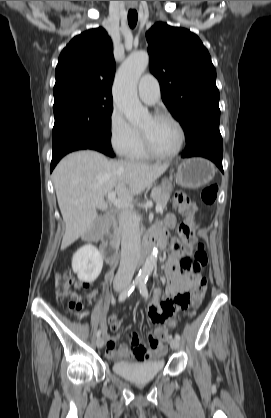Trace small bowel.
Listing matches in <instances>:
<instances>
[{
	"mask_svg": "<svg viewBox=\"0 0 271 418\" xmlns=\"http://www.w3.org/2000/svg\"><path fill=\"white\" fill-rule=\"evenodd\" d=\"M168 227H175L176 218L169 216L166 220ZM156 229L165 232L164 227L158 226ZM193 239H190V242ZM183 252L174 248L169 255L165 265L167 278L166 298L160 301V294L156 292L153 301L147 309L149 320L154 325V330L148 344H143L137 334L129 335L131 347L124 344H118L119 329L121 321L112 315L109 317L113 335L104 332V342L106 343V354L110 359H129L135 361H145L150 358H157L164 354L165 347L163 341L167 338L168 332L164 325H174V316L185 310L190 303V292L195 289L197 279L193 275H186L180 268V261ZM89 286L86 282L76 283L79 289H86ZM185 301V303H183Z\"/></svg>",
	"mask_w": 271,
	"mask_h": 418,
	"instance_id": "obj_1",
	"label": "small bowel"
}]
</instances>
